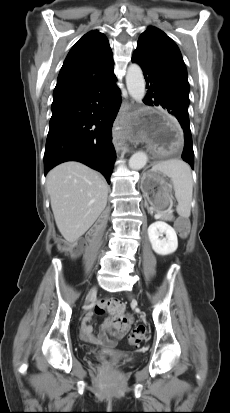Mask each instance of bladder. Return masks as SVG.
Returning a JSON list of instances; mask_svg holds the SVG:
<instances>
[{"mask_svg": "<svg viewBox=\"0 0 230 413\" xmlns=\"http://www.w3.org/2000/svg\"><path fill=\"white\" fill-rule=\"evenodd\" d=\"M117 355L119 356L120 361L123 364H130V363H133L135 361V358L130 356V355L120 353V352H117Z\"/></svg>", "mask_w": 230, "mask_h": 413, "instance_id": "31cf9c89", "label": "bladder"}]
</instances>
